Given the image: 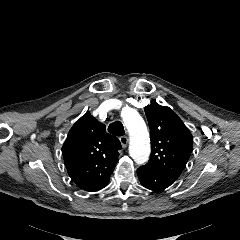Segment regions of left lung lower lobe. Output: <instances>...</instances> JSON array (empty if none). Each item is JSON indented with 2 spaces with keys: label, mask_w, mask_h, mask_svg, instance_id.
I'll return each instance as SVG.
<instances>
[{
  "label": "left lung lower lobe",
  "mask_w": 240,
  "mask_h": 240,
  "mask_svg": "<svg viewBox=\"0 0 240 240\" xmlns=\"http://www.w3.org/2000/svg\"><path fill=\"white\" fill-rule=\"evenodd\" d=\"M137 174L142 186L154 192L163 191L175 182L147 165L140 166L137 169Z\"/></svg>",
  "instance_id": "left-lung-lower-lobe-1"
}]
</instances>
